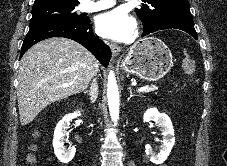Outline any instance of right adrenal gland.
I'll list each match as a JSON object with an SVG mask.
<instances>
[{
  "label": "right adrenal gland",
  "mask_w": 227,
  "mask_h": 166,
  "mask_svg": "<svg viewBox=\"0 0 227 166\" xmlns=\"http://www.w3.org/2000/svg\"><path fill=\"white\" fill-rule=\"evenodd\" d=\"M84 93L89 95L90 103H94L96 101L98 95V85L95 79L92 80L90 89L85 90Z\"/></svg>",
  "instance_id": "right-adrenal-gland-1"
}]
</instances>
